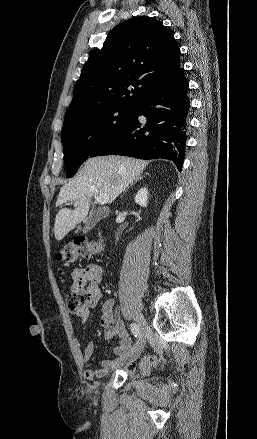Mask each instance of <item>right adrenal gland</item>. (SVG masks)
<instances>
[{
  "instance_id": "2a0ac1e0",
  "label": "right adrenal gland",
  "mask_w": 257,
  "mask_h": 439,
  "mask_svg": "<svg viewBox=\"0 0 257 439\" xmlns=\"http://www.w3.org/2000/svg\"><path fill=\"white\" fill-rule=\"evenodd\" d=\"M143 177H144V176L139 175V176H138V177H137V178H136V179L130 184V186L127 187V189L125 190L124 194H125V193L127 192V190H128L131 186H133L136 182L142 180ZM121 197H123V195H122Z\"/></svg>"
}]
</instances>
